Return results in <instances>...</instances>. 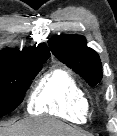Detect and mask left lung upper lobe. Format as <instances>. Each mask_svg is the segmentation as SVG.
<instances>
[{
  "instance_id": "1",
  "label": "left lung upper lobe",
  "mask_w": 117,
  "mask_h": 136,
  "mask_svg": "<svg viewBox=\"0 0 117 136\" xmlns=\"http://www.w3.org/2000/svg\"><path fill=\"white\" fill-rule=\"evenodd\" d=\"M49 47L53 54L79 74L90 86L102 79L99 55L86 46L85 38L78 35H61L51 38Z\"/></svg>"
}]
</instances>
